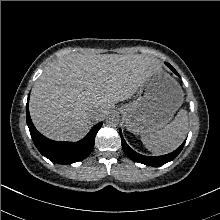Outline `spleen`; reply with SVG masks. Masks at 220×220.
Returning <instances> with one entry per match:
<instances>
[{"label": "spleen", "instance_id": "1", "mask_svg": "<svg viewBox=\"0 0 220 220\" xmlns=\"http://www.w3.org/2000/svg\"><path fill=\"white\" fill-rule=\"evenodd\" d=\"M188 132V113L181 109L177 116L165 128L141 137L145 147L157 154H167L178 148Z\"/></svg>", "mask_w": 220, "mask_h": 220}]
</instances>
